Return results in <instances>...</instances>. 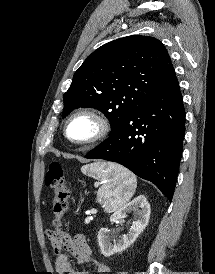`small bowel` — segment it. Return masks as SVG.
Instances as JSON below:
<instances>
[{
  "label": "small bowel",
  "mask_w": 215,
  "mask_h": 274,
  "mask_svg": "<svg viewBox=\"0 0 215 274\" xmlns=\"http://www.w3.org/2000/svg\"><path fill=\"white\" fill-rule=\"evenodd\" d=\"M48 239L55 253V269L58 274H89L87 270L75 269L67 254L79 264L92 263L98 273L107 274L110 272L108 265L93 258L91 248L83 234L77 233L71 236L69 233L57 229L48 232ZM63 250L67 254L63 253Z\"/></svg>",
  "instance_id": "1"
}]
</instances>
